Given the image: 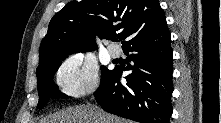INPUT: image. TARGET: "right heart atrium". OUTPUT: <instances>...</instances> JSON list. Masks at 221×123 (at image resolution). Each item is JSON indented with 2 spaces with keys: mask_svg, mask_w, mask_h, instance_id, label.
I'll use <instances>...</instances> for the list:
<instances>
[{
  "mask_svg": "<svg viewBox=\"0 0 221 123\" xmlns=\"http://www.w3.org/2000/svg\"><path fill=\"white\" fill-rule=\"evenodd\" d=\"M56 83L70 98L92 94L99 85L97 66L81 56L67 58L56 72Z\"/></svg>",
  "mask_w": 221,
  "mask_h": 123,
  "instance_id": "right-heart-atrium-1",
  "label": "right heart atrium"
}]
</instances>
